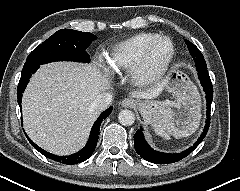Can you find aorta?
Wrapping results in <instances>:
<instances>
[{
	"mask_svg": "<svg viewBox=\"0 0 240 191\" xmlns=\"http://www.w3.org/2000/svg\"><path fill=\"white\" fill-rule=\"evenodd\" d=\"M118 120L120 124L124 126H130L135 121V114L128 109L121 110L118 114Z\"/></svg>",
	"mask_w": 240,
	"mask_h": 191,
	"instance_id": "obj_1",
	"label": "aorta"
}]
</instances>
